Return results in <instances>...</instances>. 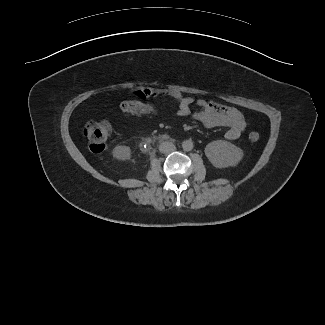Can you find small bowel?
<instances>
[{
  "label": "small bowel",
  "mask_w": 325,
  "mask_h": 325,
  "mask_svg": "<svg viewBox=\"0 0 325 325\" xmlns=\"http://www.w3.org/2000/svg\"><path fill=\"white\" fill-rule=\"evenodd\" d=\"M156 97H171L176 101V115L178 117L192 116V118L207 128L227 127L225 137L228 140H237L246 129V121L243 114L235 107L223 105L212 100H198L197 109L192 111L194 99L183 94L180 90L169 87L154 89L145 87L133 93L134 99L149 101Z\"/></svg>",
  "instance_id": "c3829d8e"
}]
</instances>
